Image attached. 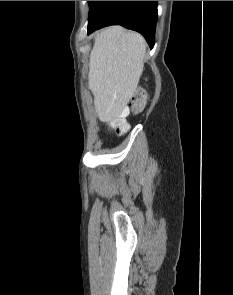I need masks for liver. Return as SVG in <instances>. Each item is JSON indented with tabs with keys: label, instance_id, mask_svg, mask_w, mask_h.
Wrapping results in <instances>:
<instances>
[{
	"label": "liver",
	"instance_id": "1",
	"mask_svg": "<svg viewBox=\"0 0 233 295\" xmlns=\"http://www.w3.org/2000/svg\"><path fill=\"white\" fill-rule=\"evenodd\" d=\"M145 53L146 42L137 32L111 26L96 33L88 86L101 121L115 120L131 100L143 72Z\"/></svg>",
	"mask_w": 233,
	"mask_h": 295
}]
</instances>
